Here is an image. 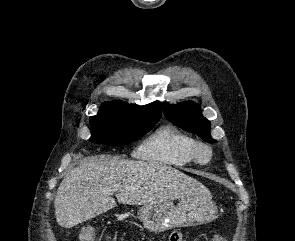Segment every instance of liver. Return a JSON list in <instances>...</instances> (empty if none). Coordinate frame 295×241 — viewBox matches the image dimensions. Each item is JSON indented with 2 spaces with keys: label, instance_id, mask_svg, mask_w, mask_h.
<instances>
[{
  "label": "liver",
  "instance_id": "1",
  "mask_svg": "<svg viewBox=\"0 0 295 241\" xmlns=\"http://www.w3.org/2000/svg\"><path fill=\"white\" fill-rule=\"evenodd\" d=\"M115 192L118 202L128 205L162 204L210 193L201 182L170 166L93 157L60 183L54 200L58 224L72 228L116 207Z\"/></svg>",
  "mask_w": 295,
  "mask_h": 241
}]
</instances>
